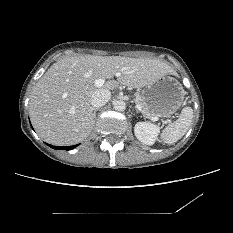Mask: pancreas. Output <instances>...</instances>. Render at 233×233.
<instances>
[{"mask_svg": "<svg viewBox=\"0 0 233 233\" xmlns=\"http://www.w3.org/2000/svg\"><path fill=\"white\" fill-rule=\"evenodd\" d=\"M135 103L141 106V112L146 118H151L155 115L150 111L149 107L147 106L141 95H136Z\"/></svg>", "mask_w": 233, "mask_h": 233, "instance_id": "1", "label": "pancreas"}]
</instances>
